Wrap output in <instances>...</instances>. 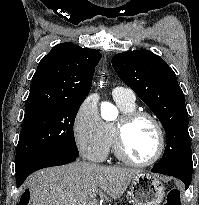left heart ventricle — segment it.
I'll list each match as a JSON object with an SVG mask.
<instances>
[{
	"label": "left heart ventricle",
	"instance_id": "left-heart-ventricle-1",
	"mask_svg": "<svg viewBox=\"0 0 199 205\" xmlns=\"http://www.w3.org/2000/svg\"><path fill=\"white\" fill-rule=\"evenodd\" d=\"M157 146L158 133L150 120L138 119L125 130L124 147L134 160H149L155 154Z\"/></svg>",
	"mask_w": 199,
	"mask_h": 205
}]
</instances>
